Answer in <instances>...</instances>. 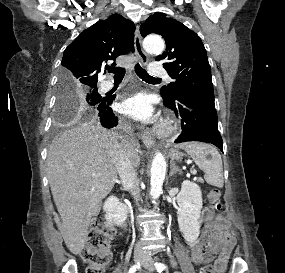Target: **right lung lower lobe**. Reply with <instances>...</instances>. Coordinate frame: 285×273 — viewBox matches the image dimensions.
I'll return each instance as SVG.
<instances>
[{
	"label": "right lung lower lobe",
	"mask_w": 285,
	"mask_h": 273,
	"mask_svg": "<svg viewBox=\"0 0 285 273\" xmlns=\"http://www.w3.org/2000/svg\"><path fill=\"white\" fill-rule=\"evenodd\" d=\"M112 101L113 98H103L97 107V117L100 119L101 124L106 128H112L118 124V118L114 115L112 109L110 108Z\"/></svg>",
	"instance_id": "obj_1"
}]
</instances>
